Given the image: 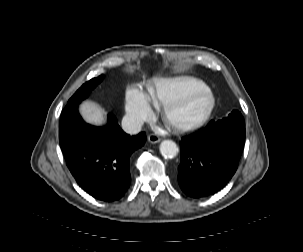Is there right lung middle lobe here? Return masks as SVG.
Listing matches in <instances>:
<instances>
[{"label": "right lung middle lobe", "instance_id": "obj_1", "mask_svg": "<svg viewBox=\"0 0 303 252\" xmlns=\"http://www.w3.org/2000/svg\"><path fill=\"white\" fill-rule=\"evenodd\" d=\"M103 77L104 76L101 75L83 84L81 88H79L76 93L70 98L68 103L80 102L81 100L85 99L89 95V92L102 81Z\"/></svg>", "mask_w": 303, "mask_h": 252}]
</instances>
